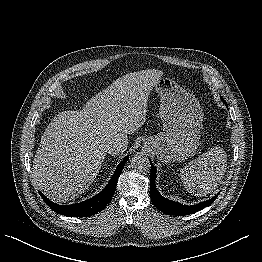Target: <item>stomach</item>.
Returning a JSON list of instances; mask_svg holds the SVG:
<instances>
[{
  "mask_svg": "<svg viewBox=\"0 0 262 262\" xmlns=\"http://www.w3.org/2000/svg\"><path fill=\"white\" fill-rule=\"evenodd\" d=\"M161 99L159 115L163 131L144 141L164 163L186 160L196 153L203 112L199 101L175 81L161 78L155 85Z\"/></svg>",
  "mask_w": 262,
  "mask_h": 262,
  "instance_id": "1",
  "label": "stomach"
}]
</instances>
